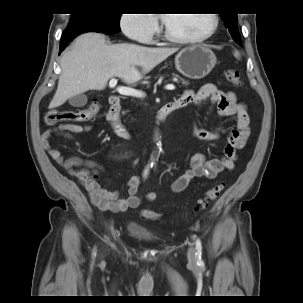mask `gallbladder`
<instances>
[{
	"mask_svg": "<svg viewBox=\"0 0 303 303\" xmlns=\"http://www.w3.org/2000/svg\"><path fill=\"white\" fill-rule=\"evenodd\" d=\"M87 96L85 94H78L69 99V103L73 107H83L87 103Z\"/></svg>",
	"mask_w": 303,
	"mask_h": 303,
	"instance_id": "bac80fb5",
	"label": "gallbladder"
}]
</instances>
